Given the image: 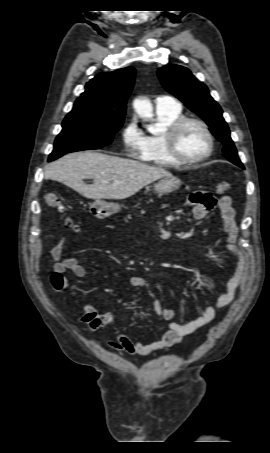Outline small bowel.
I'll use <instances>...</instances> for the list:
<instances>
[{"label":"small bowel","instance_id":"c3829d8e","mask_svg":"<svg viewBox=\"0 0 270 453\" xmlns=\"http://www.w3.org/2000/svg\"><path fill=\"white\" fill-rule=\"evenodd\" d=\"M189 204L193 206L194 217L196 219L204 218L212 209H208L205 205L199 203L196 193L189 198ZM217 207L221 215L223 231L227 234V249L235 258V265L232 268L230 277L226 281L225 292L218 297L214 305L205 307L201 315L190 321L184 324L178 323L174 321L175 312L172 309L164 307L156 297L155 280L132 276L129 278V285L133 288L145 290L152 298L154 314L168 322V330L160 340L148 344L140 340H131L119 330L116 325L115 316L109 309L100 312L98 308L91 304L84 305V313L80 316L78 322L85 326L89 332H94L102 327L111 328L115 333L116 340L107 343L109 348L130 356L141 357L149 356L159 350H169L178 344L183 337L208 325L214 319L217 309L228 306L234 300L246 270V259L236 244L239 229L235 221V210L231 197L222 196L219 198ZM64 244L65 240L62 239L51 249V255L55 260L54 274L62 276V289H65L69 285L68 279L64 276L66 271L70 270L78 278L86 275V269L76 258L62 256Z\"/></svg>","mask_w":270,"mask_h":453}]
</instances>
